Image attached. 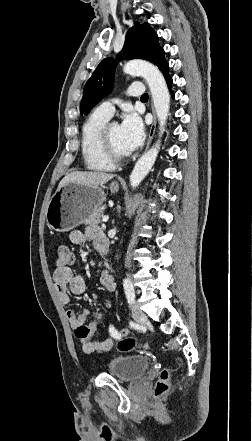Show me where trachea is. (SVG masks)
<instances>
[{"mask_svg": "<svg viewBox=\"0 0 252 441\" xmlns=\"http://www.w3.org/2000/svg\"><path fill=\"white\" fill-rule=\"evenodd\" d=\"M144 99H148V94L147 93L142 95L141 100H144Z\"/></svg>", "mask_w": 252, "mask_h": 441, "instance_id": "trachea-1", "label": "trachea"}]
</instances>
